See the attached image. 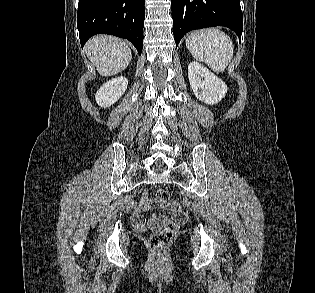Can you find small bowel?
<instances>
[{
  "label": "small bowel",
  "mask_w": 315,
  "mask_h": 293,
  "mask_svg": "<svg viewBox=\"0 0 315 293\" xmlns=\"http://www.w3.org/2000/svg\"><path fill=\"white\" fill-rule=\"evenodd\" d=\"M166 205H160L153 201H150L148 198V193L144 192L140 198V202L135 209L132 217L133 224L136 228L140 230H144L147 228V226L150 227L151 230H161L162 223L167 220V214L166 213H159L158 215H153L148 223L146 222L144 218V213L150 210L151 208H161Z\"/></svg>",
  "instance_id": "c3829d8e"
}]
</instances>
